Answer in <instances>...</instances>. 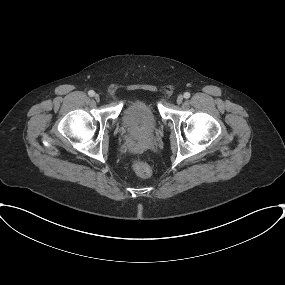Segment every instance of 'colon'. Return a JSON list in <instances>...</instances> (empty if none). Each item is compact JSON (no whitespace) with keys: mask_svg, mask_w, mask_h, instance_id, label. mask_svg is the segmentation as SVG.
I'll use <instances>...</instances> for the list:
<instances>
[{"mask_svg":"<svg viewBox=\"0 0 285 285\" xmlns=\"http://www.w3.org/2000/svg\"><path fill=\"white\" fill-rule=\"evenodd\" d=\"M132 169L141 178H147L151 175L150 166L142 160H134L132 162Z\"/></svg>","mask_w":285,"mask_h":285,"instance_id":"1","label":"colon"}]
</instances>
